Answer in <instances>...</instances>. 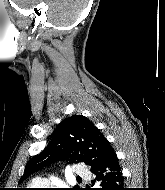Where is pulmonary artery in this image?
<instances>
[{"label": "pulmonary artery", "instance_id": "pulmonary-artery-1", "mask_svg": "<svg viewBox=\"0 0 165 190\" xmlns=\"http://www.w3.org/2000/svg\"><path fill=\"white\" fill-rule=\"evenodd\" d=\"M73 173L74 175L82 177V178H89L90 176L89 171L81 165L75 166V168L73 169Z\"/></svg>", "mask_w": 165, "mask_h": 190}]
</instances>
